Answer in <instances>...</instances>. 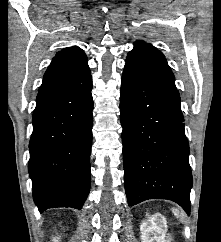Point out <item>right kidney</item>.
Segmentation results:
<instances>
[{
	"label": "right kidney",
	"mask_w": 221,
	"mask_h": 242,
	"mask_svg": "<svg viewBox=\"0 0 221 242\" xmlns=\"http://www.w3.org/2000/svg\"><path fill=\"white\" fill-rule=\"evenodd\" d=\"M58 239H59V238H54V239H53V242H58Z\"/></svg>",
	"instance_id": "ca27d5eb"
}]
</instances>
